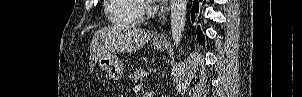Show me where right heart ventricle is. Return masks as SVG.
Listing matches in <instances>:
<instances>
[{
	"instance_id": "right-heart-ventricle-1",
	"label": "right heart ventricle",
	"mask_w": 302,
	"mask_h": 97,
	"mask_svg": "<svg viewBox=\"0 0 302 97\" xmlns=\"http://www.w3.org/2000/svg\"><path fill=\"white\" fill-rule=\"evenodd\" d=\"M136 0H107L105 2V13L113 25L135 27L140 22Z\"/></svg>"
}]
</instances>
